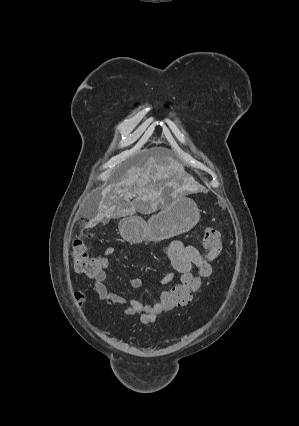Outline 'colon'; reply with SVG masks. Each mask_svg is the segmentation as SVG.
I'll return each instance as SVG.
<instances>
[{"label": "colon", "instance_id": "5ec220e1", "mask_svg": "<svg viewBox=\"0 0 299 426\" xmlns=\"http://www.w3.org/2000/svg\"><path fill=\"white\" fill-rule=\"evenodd\" d=\"M203 247L210 259H217L222 252L221 234L214 227H207L202 237ZM71 256L76 272L94 278L101 271L99 257L88 254L84 239H77L73 242ZM197 287V282L193 274H184L180 282L175 283L168 289L158 293L156 301L159 302L166 312L173 311L188 304ZM78 302L84 301V295L80 292L75 294Z\"/></svg>", "mask_w": 299, "mask_h": 426}]
</instances>
